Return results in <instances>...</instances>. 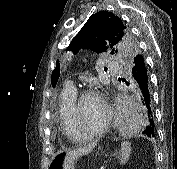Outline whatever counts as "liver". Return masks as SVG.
I'll return each instance as SVG.
<instances>
[{"label": "liver", "instance_id": "1", "mask_svg": "<svg viewBox=\"0 0 177 169\" xmlns=\"http://www.w3.org/2000/svg\"><path fill=\"white\" fill-rule=\"evenodd\" d=\"M94 147H95V144H92L88 147L78 148V149L67 152L64 158L63 167L65 169H74V161L78 157L91 152Z\"/></svg>", "mask_w": 177, "mask_h": 169}]
</instances>
